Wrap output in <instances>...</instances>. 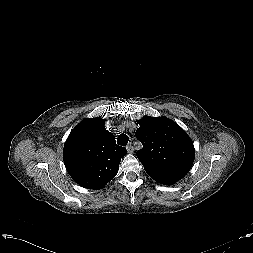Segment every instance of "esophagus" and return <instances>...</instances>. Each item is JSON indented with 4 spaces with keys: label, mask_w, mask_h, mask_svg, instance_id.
<instances>
[{
    "label": "esophagus",
    "mask_w": 253,
    "mask_h": 253,
    "mask_svg": "<svg viewBox=\"0 0 253 253\" xmlns=\"http://www.w3.org/2000/svg\"><path fill=\"white\" fill-rule=\"evenodd\" d=\"M128 153H133L134 152V148L131 144H129L127 147H126Z\"/></svg>",
    "instance_id": "1"
}]
</instances>
